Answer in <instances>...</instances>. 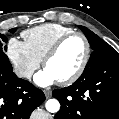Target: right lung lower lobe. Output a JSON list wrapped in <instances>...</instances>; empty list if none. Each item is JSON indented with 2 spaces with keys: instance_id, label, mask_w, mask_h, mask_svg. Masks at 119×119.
Wrapping results in <instances>:
<instances>
[{
  "instance_id": "98d812e1",
  "label": "right lung lower lobe",
  "mask_w": 119,
  "mask_h": 119,
  "mask_svg": "<svg viewBox=\"0 0 119 119\" xmlns=\"http://www.w3.org/2000/svg\"><path fill=\"white\" fill-rule=\"evenodd\" d=\"M45 95L13 71L0 70V119H29L43 103Z\"/></svg>"
}]
</instances>
